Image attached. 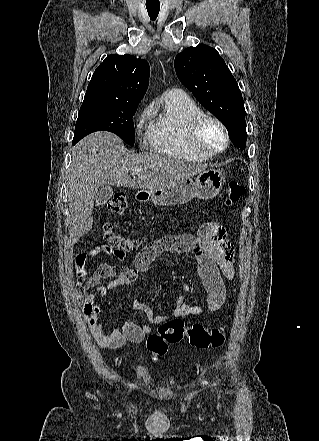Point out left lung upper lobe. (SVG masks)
<instances>
[{
	"mask_svg": "<svg viewBox=\"0 0 319 441\" xmlns=\"http://www.w3.org/2000/svg\"><path fill=\"white\" fill-rule=\"evenodd\" d=\"M181 83L227 128L236 147H246L245 108L238 84L217 50L189 47L174 61Z\"/></svg>",
	"mask_w": 319,
	"mask_h": 441,
	"instance_id": "left-lung-upper-lobe-1",
	"label": "left lung upper lobe"
}]
</instances>
